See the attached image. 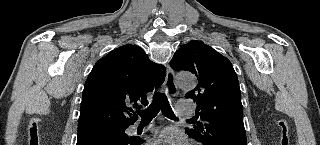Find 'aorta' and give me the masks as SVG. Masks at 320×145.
I'll return each mask as SVG.
<instances>
[{
	"mask_svg": "<svg viewBox=\"0 0 320 145\" xmlns=\"http://www.w3.org/2000/svg\"><path fill=\"white\" fill-rule=\"evenodd\" d=\"M177 81L183 89H192L196 86V79L194 75L190 73H179L177 75Z\"/></svg>",
	"mask_w": 320,
	"mask_h": 145,
	"instance_id": "aorta-1",
	"label": "aorta"
}]
</instances>
